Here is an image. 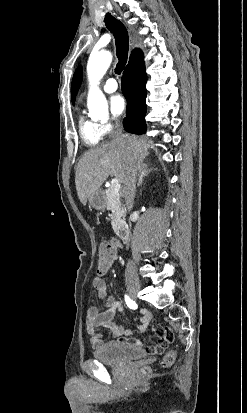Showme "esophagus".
<instances>
[{
	"label": "esophagus",
	"instance_id": "obj_1",
	"mask_svg": "<svg viewBox=\"0 0 247 413\" xmlns=\"http://www.w3.org/2000/svg\"><path fill=\"white\" fill-rule=\"evenodd\" d=\"M130 41H131V45H132L133 47H135V46H136V42H135V40H134V38H133L132 35H130Z\"/></svg>",
	"mask_w": 247,
	"mask_h": 413
}]
</instances>
